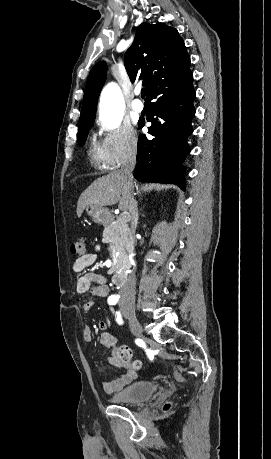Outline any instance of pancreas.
<instances>
[{
    "label": "pancreas",
    "mask_w": 271,
    "mask_h": 459,
    "mask_svg": "<svg viewBox=\"0 0 271 459\" xmlns=\"http://www.w3.org/2000/svg\"><path fill=\"white\" fill-rule=\"evenodd\" d=\"M127 222L128 218L119 216L115 222H112V224L107 226L103 231V239L114 243L120 256H126L129 253V250L126 248L129 241V228Z\"/></svg>",
    "instance_id": "pancreas-1"
}]
</instances>
